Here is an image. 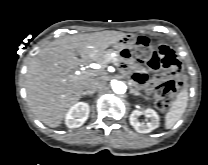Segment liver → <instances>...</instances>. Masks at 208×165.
Returning a JSON list of instances; mask_svg holds the SVG:
<instances>
[{"instance_id": "obj_1", "label": "liver", "mask_w": 208, "mask_h": 165, "mask_svg": "<svg viewBox=\"0 0 208 165\" xmlns=\"http://www.w3.org/2000/svg\"><path fill=\"white\" fill-rule=\"evenodd\" d=\"M125 36L119 31L77 34L43 48L30 62L26 74L27 99L36 117L49 127H58L66 111L95 79L74 70L81 64L99 61L106 48Z\"/></svg>"}]
</instances>
